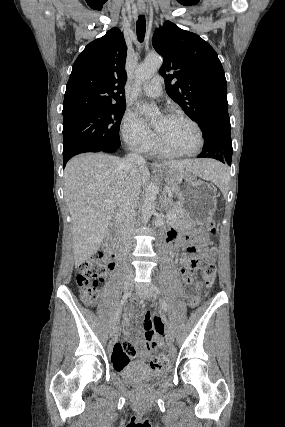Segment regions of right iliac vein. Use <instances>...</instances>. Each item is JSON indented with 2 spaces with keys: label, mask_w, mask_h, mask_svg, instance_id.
I'll list each match as a JSON object with an SVG mask.
<instances>
[{
  "label": "right iliac vein",
  "mask_w": 285,
  "mask_h": 427,
  "mask_svg": "<svg viewBox=\"0 0 285 427\" xmlns=\"http://www.w3.org/2000/svg\"><path fill=\"white\" fill-rule=\"evenodd\" d=\"M124 291H125V293H128V292L132 291V282H131V280L127 279L124 282ZM117 334H118V327L114 323V324H112V326L109 329V335H110V337L112 339H114V338L117 337Z\"/></svg>",
  "instance_id": "obj_1"
}]
</instances>
